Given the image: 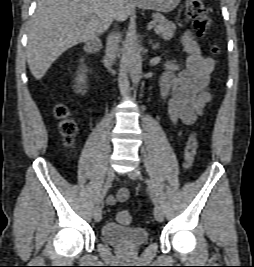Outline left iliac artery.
I'll list each match as a JSON object with an SVG mask.
<instances>
[{"instance_id":"44dca946","label":"left iliac artery","mask_w":254,"mask_h":267,"mask_svg":"<svg viewBox=\"0 0 254 267\" xmlns=\"http://www.w3.org/2000/svg\"><path fill=\"white\" fill-rule=\"evenodd\" d=\"M138 174L139 175H142L140 171H138ZM145 181L147 183V186H148V190L150 192V196H151V199L153 201V203L156 205L158 204V200H157V197H156V194L153 190V187H152V184H151V181L148 179V178H145Z\"/></svg>"}]
</instances>
